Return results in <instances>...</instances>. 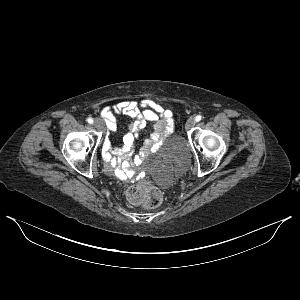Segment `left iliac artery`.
<instances>
[{
    "mask_svg": "<svg viewBox=\"0 0 300 300\" xmlns=\"http://www.w3.org/2000/svg\"><path fill=\"white\" fill-rule=\"evenodd\" d=\"M201 119H202L201 115H197L196 118H195L196 122H199Z\"/></svg>",
    "mask_w": 300,
    "mask_h": 300,
    "instance_id": "left-iliac-artery-1",
    "label": "left iliac artery"
}]
</instances>
